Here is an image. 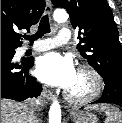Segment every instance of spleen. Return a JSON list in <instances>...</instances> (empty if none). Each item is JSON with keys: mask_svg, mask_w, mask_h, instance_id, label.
Returning a JSON list of instances; mask_svg holds the SVG:
<instances>
[{"mask_svg": "<svg viewBox=\"0 0 122 123\" xmlns=\"http://www.w3.org/2000/svg\"><path fill=\"white\" fill-rule=\"evenodd\" d=\"M88 108L105 112V123H122V112L109 104L93 105Z\"/></svg>", "mask_w": 122, "mask_h": 123, "instance_id": "3e777b00", "label": "spleen"}]
</instances>
